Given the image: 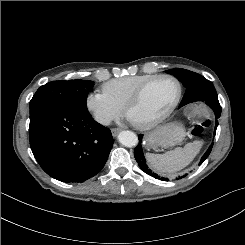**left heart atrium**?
<instances>
[{
	"label": "left heart atrium",
	"mask_w": 245,
	"mask_h": 245,
	"mask_svg": "<svg viewBox=\"0 0 245 245\" xmlns=\"http://www.w3.org/2000/svg\"><path fill=\"white\" fill-rule=\"evenodd\" d=\"M130 119V118H129ZM131 123L135 124L131 119H130Z\"/></svg>",
	"instance_id": "1"
}]
</instances>
